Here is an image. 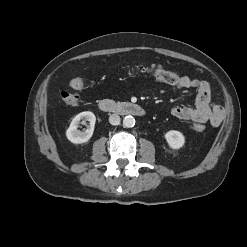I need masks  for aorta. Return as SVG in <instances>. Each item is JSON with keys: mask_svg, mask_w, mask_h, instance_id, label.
I'll use <instances>...</instances> for the list:
<instances>
[{"mask_svg": "<svg viewBox=\"0 0 247 247\" xmlns=\"http://www.w3.org/2000/svg\"><path fill=\"white\" fill-rule=\"evenodd\" d=\"M135 125V119L133 116H125L123 119V126L126 128H132Z\"/></svg>", "mask_w": 247, "mask_h": 247, "instance_id": "1", "label": "aorta"}]
</instances>
